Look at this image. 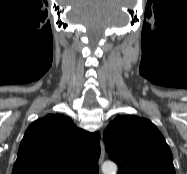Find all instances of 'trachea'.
<instances>
[{
  "instance_id": "3493384b",
  "label": "trachea",
  "mask_w": 187,
  "mask_h": 174,
  "mask_svg": "<svg viewBox=\"0 0 187 174\" xmlns=\"http://www.w3.org/2000/svg\"><path fill=\"white\" fill-rule=\"evenodd\" d=\"M85 174H99L98 173V164L90 165L87 169Z\"/></svg>"
}]
</instances>
